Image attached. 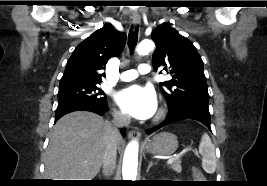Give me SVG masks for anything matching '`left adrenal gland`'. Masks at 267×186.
<instances>
[{"label": "left adrenal gland", "mask_w": 267, "mask_h": 186, "mask_svg": "<svg viewBox=\"0 0 267 186\" xmlns=\"http://www.w3.org/2000/svg\"><path fill=\"white\" fill-rule=\"evenodd\" d=\"M153 164L154 163L152 161L149 162V165H148V168H147V171H146L147 173L149 172V169L153 166Z\"/></svg>", "instance_id": "a2214340"}]
</instances>
